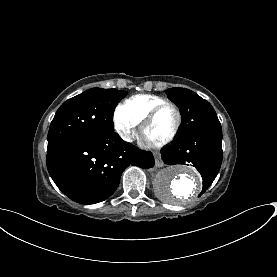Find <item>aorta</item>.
Listing matches in <instances>:
<instances>
[{"label": "aorta", "instance_id": "1", "mask_svg": "<svg viewBox=\"0 0 277 277\" xmlns=\"http://www.w3.org/2000/svg\"><path fill=\"white\" fill-rule=\"evenodd\" d=\"M154 186L163 201L176 204L196 197L202 190V180L192 168L171 166L156 175Z\"/></svg>", "mask_w": 277, "mask_h": 277}]
</instances>
